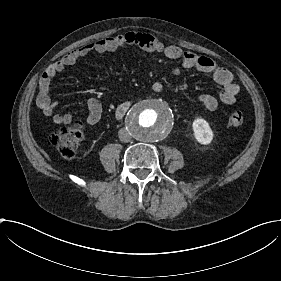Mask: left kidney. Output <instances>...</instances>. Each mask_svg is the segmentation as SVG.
<instances>
[{
	"label": "left kidney",
	"instance_id": "5707ae66",
	"mask_svg": "<svg viewBox=\"0 0 281 281\" xmlns=\"http://www.w3.org/2000/svg\"><path fill=\"white\" fill-rule=\"evenodd\" d=\"M194 136L200 144H210L213 139V132L208 122L202 118H197L193 122Z\"/></svg>",
	"mask_w": 281,
	"mask_h": 281
}]
</instances>
